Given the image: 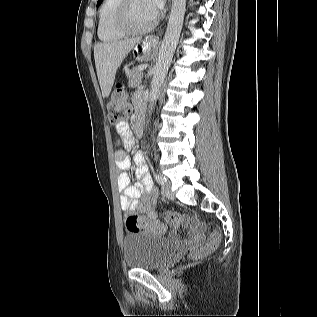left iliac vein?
<instances>
[{"label":"left iliac vein","mask_w":317,"mask_h":317,"mask_svg":"<svg viewBox=\"0 0 317 317\" xmlns=\"http://www.w3.org/2000/svg\"><path fill=\"white\" fill-rule=\"evenodd\" d=\"M162 191H163V194L164 196L169 199V200H174V194L173 192L171 191V185L169 182L165 181L163 184H162Z\"/></svg>","instance_id":"1"}]
</instances>
